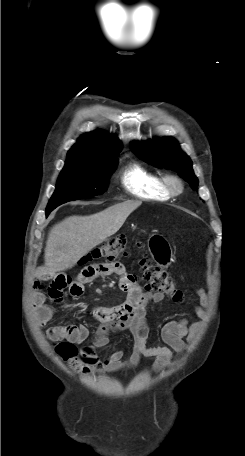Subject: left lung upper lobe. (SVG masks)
I'll return each instance as SVG.
<instances>
[{
	"instance_id": "obj_1",
	"label": "left lung upper lobe",
	"mask_w": 245,
	"mask_h": 456,
	"mask_svg": "<svg viewBox=\"0 0 245 456\" xmlns=\"http://www.w3.org/2000/svg\"><path fill=\"white\" fill-rule=\"evenodd\" d=\"M130 148L136 156L148 163L178 172L193 190L197 189L198 180L192 170V162L173 138L133 142Z\"/></svg>"
}]
</instances>
